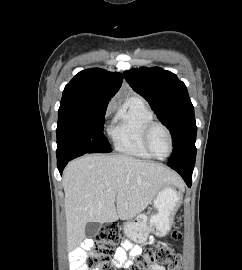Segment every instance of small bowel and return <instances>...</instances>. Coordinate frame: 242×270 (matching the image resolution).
<instances>
[{
	"label": "small bowel",
	"mask_w": 242,
	"mask_h": 270,
	"mask_svg": "<svg viewBox=\"0 0 242 270\" xmlns=\"http://www.w3.org/2000/svg\"><path fill=\"white\" fill-rule=\"evenodd\" d=\"M154 239L150 243H154ZM93 243L90 240L85 241L80 248H78L70 258L71 266L75 270H89L85 264L86 252L92 247ZM140 246L134 245L128 240H124L120 247H118L114 254L115 264L127 266L132 263V259L141 253ZM151 270H166L161 265H154Z\"/></svg>",
	"instance_id": "small-bowel-1"
}]
</instances>
